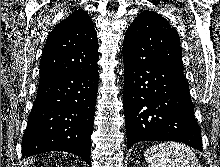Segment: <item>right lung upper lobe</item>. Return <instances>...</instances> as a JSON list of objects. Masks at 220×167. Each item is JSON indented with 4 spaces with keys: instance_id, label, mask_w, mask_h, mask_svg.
<instances>
[{
    "instance_id": "1",
    "label": "right lung upper lobe",
    "mask_w": 220,
    "mask_h": 167,
    "mask_svg": "<svg viewBox=\"0 0 220 167\" xmlns=\"http://www.w3.org/2000/svg\"><path fill=\"white\" fill-rule=\"evenodd\" d=\"M98 39L91 18L83 9L72 12L50 32L40 62L44 83L97 65Z\"/></svg>"
}]
</instances>
